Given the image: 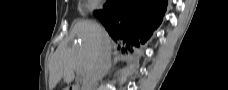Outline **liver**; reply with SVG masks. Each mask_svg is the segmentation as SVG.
Segmentation results:
<instances>
[{
    "instance_id": "6515ba94",
    "label": "liver",
    "mask_w": 228,
    "mask_h": 90,
    "mask_svg": "<svg viewBox=\"0 0 228 90\" xmlns=\"http://www.w3.org/2000/svg\"><path fill=\"white\" fill-rule=\"evenodd\" d=\"M77 38V42L68 45ZM111 38L96 22L80 20L74 25L70 36L55 51L49 64V88L53 90L61 79L70 84L74 71L83 70L85 78L102 51L111 52Z\"/></svg>"
}]
</instances>
